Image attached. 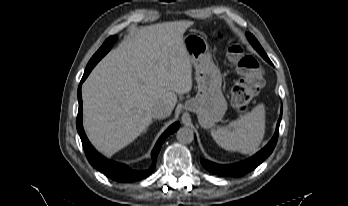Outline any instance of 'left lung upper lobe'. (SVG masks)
<instances>
[{
	"mask_svg": "<svg viewBox=\"0 0 348 206\" xmlns=\"http://www.w3.org/2000/svg\"><path fill=\"white\" fill-rule=\"evenodd\" d=\"M247 38L250 41V43L253 45V47L257 50V52L269 63H271L270 59L268 58V56L266 55V53L264 52L263 48L261 47V45L259 44V42L256 40V38L250 34L247 33Z\"/></svg>",
	"mask_w": 348,
	"mask_h": 206,
	"instance_id": "left-lung-upper-lobe-1",
	"label": "left lung upper lobe"
}]
</instances>
